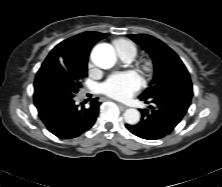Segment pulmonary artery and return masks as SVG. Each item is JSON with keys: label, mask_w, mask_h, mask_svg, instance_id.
<instances>
[{"label": "pulmonary artery", "mask_w": 222, "mask_h": 187, "mask_svg": "<svg viewBox=\"0 0 222 187\" xmlns=\"http://www.w3.org/2000/svg\"><path fill=\"white\" fill-rule=\"evenodd\" d=\"M136 51H134L131 48L128 49H124L123 51L120 52L121 54V58L125 61V62H131L135 56Z\"/></svg>", "instance_id": "e3ab8cb5"}]
</instances>
